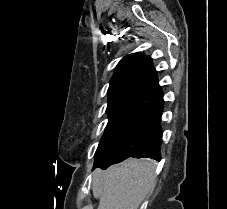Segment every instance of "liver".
Segmentation results:
<instances>
[{"label":"liver","instance_id":"liver-1","mask_svg":"<svg viewBox=\"0 0 227 209\" xmlns=\"http://www.w3.org/2000/svg\"><path fill=\"white\" fill-rule=\"evenodd\" d=\"M153 161L127 159L107 171L92 173V193L99 199L98 209H138L155 187Z\"/></svg>","mask_w":227,"mask_h":209}]
</instances>
